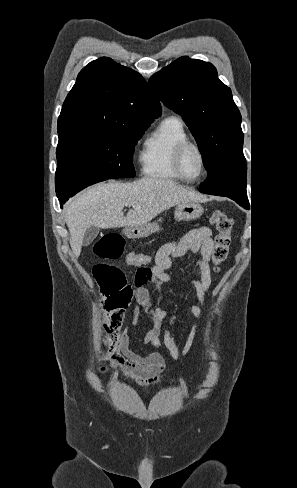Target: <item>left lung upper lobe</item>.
<instances>
[{"label": "left lung upper lobe", "mask_w": 297, "mask_h": 488, "mask_svg": "<svg viewBox=\"0 0 297 488\" xmlns=\"http://www.w3.org/2000/svg\"><path fill=\"white\" fill-rule=\"evenodd\" d=\"M149 84L165 106L182 116L195 137L208 173L199 190L248 201L242 118L215 67L181 57L155 73Z\"/></svg>", "instance_id": "left-lung-upper-lobe-1"}]
</instances>
